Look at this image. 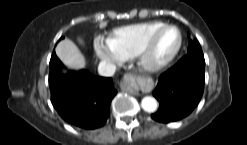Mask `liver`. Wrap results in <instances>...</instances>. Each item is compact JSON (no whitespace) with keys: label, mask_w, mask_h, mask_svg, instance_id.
Instances as JSON below:
<instances>
[{"label":"liver","mask_w":247,"mask_h":145,"mask_svg":"<svg viewBox=\"0 0 247 145\" xmlns=\"http://www.w3.org/2000/svg\"><path fill=\"white\" fill-rule=\"evenodd\" d=\"M56 55L71 71H80L86 67L85 57L69 39H64L56 46ZM64 73L67 71L64 70Z\"/></svg>","instance_id":"1"}]
</instances>
